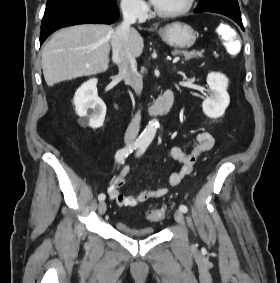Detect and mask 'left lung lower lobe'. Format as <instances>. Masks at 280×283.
I'll list each match as a JSON object with an SVG mask.
<instances>
[{"label": "left lung lower lobe", "mask_w": 280, "mask_h": 283, "mask_svg": "<svg viewBox=\"0 0 280 283\" xmlns=\"http://www.w3.org/2000/svg\"><path fill=\"white\" fill-rule=\"evenodd\" d=\"M195 13H197V11H194ZM231 18L232 20H234L243 30H244V27H243V24H242V20L241 18H238V17H229Z\"/></svg>", "instance_id": "1"}]
</instances>
